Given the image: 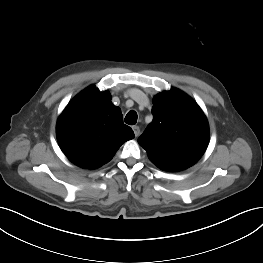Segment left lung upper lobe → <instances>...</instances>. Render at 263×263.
<instances>
[{
  "mask_svg": "<svg viewBox=\"0 0 263 263\" xmlns=\"http://www.w3.org/2000/svg\"><path fill=\"white\" fill-rule=\"evenodd\" d=\"M153 121L139 137L155 165L188 168L204 154L209 141L207 119L198 104L179 89L153 99Z\"/></svg>",
  "mask_w": 263,
  "mask_h": 263,
  "instance_id": "left-lung-upper-lobe-1",
  "label": "left lung upper lobe"
}]
</instances>
